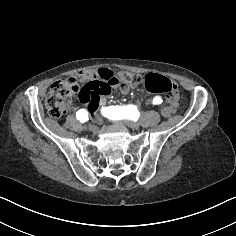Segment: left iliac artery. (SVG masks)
Masks as SVG:
<instances>
[{"label": "left iliac artery", "instance_id": "left-iliac-artery-1", "mask_svg": "<svg viewBox=\"0 0 236 236\" xmlns=\"http://www.w3.org/2000/svg\"><path fill=\"white\" fill-rule=\"evenodd\" d=\"M162 99L159 96H156L153 99V104H161ZM137 111V106L127 105V106H109L101 109V113L104 117H107L110 120H121L128 119L132 114Z\"/></svg>", "mask_w": 236, "mask_h": 236}]
</instances>
